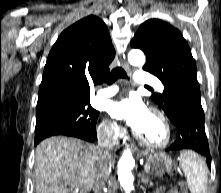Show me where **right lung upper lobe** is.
I'll use <instances>...</instances> for the list:
<instances>
[{
	"instance_id": "1",
	"label": "right lung upper lobe",
	"mask_w": 221,
	"mask_h": 193,
	"mask_svg": "<svg viewBox=\"0 0 221 193\" xmlns=\"http://www.w3.org/2000/svg\"><path fill=\"white\" fill-rule=\"evenodd\" d=\"M115 57L106 24L87 16L64 30L52 47L38 103L90 100V84L109 73Z\"/></svg>"
}]
</instances>
